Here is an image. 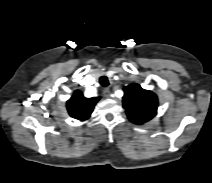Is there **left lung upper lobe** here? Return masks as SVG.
<instances>
[{
  "label": "left lung upper lobe",
  "instance_id": "obj_1",
  "mask_svg": "<svg viewBox=\"0 0 212 183\" xmlns=\"http://www.w3.org/2000/svg\"><path fill=\"white\" fill-rule=\"evenodd\" d=\"M123 107L131 122L143 124L152 119L157 113V96L149 90L134 83L124 88Z\"/></svg>",
  "mask_w": 212,
  "mask_h": 183
}]
</instances>
